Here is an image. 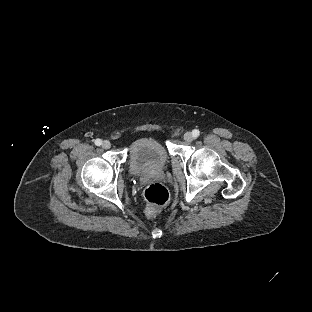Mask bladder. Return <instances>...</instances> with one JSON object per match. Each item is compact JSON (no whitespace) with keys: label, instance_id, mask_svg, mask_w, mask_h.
I'll list each match as a JSON object with an SVG mask.
<instances>
[{"label":"bladder","instance_id":"bladder-1","mask_svg":"<svg viewBox=\"0 0 312 312\" xmlns=\"http://www.w3.org/2000/svg\"><path fill=\"white\" fill-rule=\"evenodd\" d=\"M128 149L131 171L135 175L150 169H163L167 166L169 154L159 140L140 138L131 144Z\"/></svg>","mask_w":312,"mask_h":312}]
</instances>
